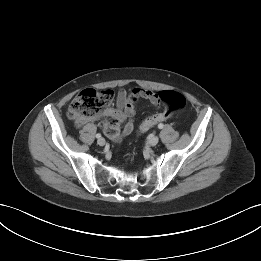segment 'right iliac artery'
Here are the masks:
<instances>
[{
    "label": "right iliac artery",
    "instance_id": "1",
    "mask_svg": "<svg viewBox=\"0 0 261 261\" xmlns=\"http://www.w3.org/2000/svg\"><path fill=\"white\" fill-rule=\"evenodd\" d=\"M100 137H101L100 133L96 134V138H100Z\"/></svg>",
    "mask_w": 261,
    "mask_h": 261
}]
</instances>
